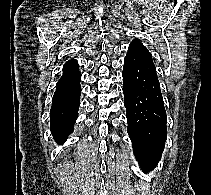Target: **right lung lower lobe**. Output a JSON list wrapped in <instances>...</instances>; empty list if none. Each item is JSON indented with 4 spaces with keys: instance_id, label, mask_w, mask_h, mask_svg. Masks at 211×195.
<instances>
[{
    "instance_id": "1",
    "label": "right lung lower lobe",
    "mask_w": 211,
    "mask_h": 195,
    "mask_svg": "<svg viewBox=\"0 0 211 195\" xmlns=\"http://www.w3.org/2000/svg\"><path fill=\"white\" fill-rule=\"evenodd\" d=\"M79 68L63 71L57 82L50 112V127L54 139L63 144L74 128L78 117L80 105V79Z\"/></svg>"
}]
</instances>
